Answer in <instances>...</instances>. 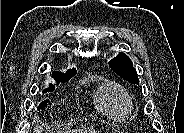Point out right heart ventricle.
<instances>
[{
  "mask_svg": "<svg viewBox=\"0 0 184 133\" xmlns=\"http://www.w3.org/2000/svg\"><path fill=\"white\" fill-rule=\"evenodd\" d=\"M94 102L100 112L116 120L124 119L131 109L127 92L111 81H104L99 85Z\"/></svg>",
  "mask_w": 184,
  "mask_h": 133,
  "instance_id": "1",
  "label": "right heart ventricle"
}]
</instances>
